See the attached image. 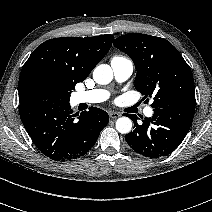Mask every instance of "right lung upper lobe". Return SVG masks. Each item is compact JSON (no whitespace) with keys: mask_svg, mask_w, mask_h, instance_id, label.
<instances>
[{"mask_svg":"<svg viewBox=\"0 0 212 212\" xmlns=\"http://www.w3.org/2000/svg\"><path fill=\"white\" fill-rule=\"evenodd\" d=\"M113 38V35L63 37L39 45L20 73V103L25 102L28 87L38 81H50L60 89L74 90L107 54Z\"/></svg>","mask_w":212,"mask_h":212,"instance_id":"1","label":"right lung upper lobe"}]
</instances>
